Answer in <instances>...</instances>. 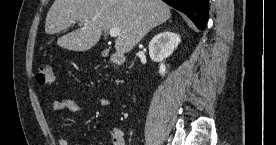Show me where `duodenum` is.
I'll return each instance as SVG.
<instances>
[{"label":"duodenum","mask_w":276,"mask_h":145,"mask_svg":"<svg viewBox=\"0 0 276 145\" xmlns=\"http://www.w3.org/2000/svg\"><path fill=\"white\" fill-rule=\"evenodd\" d=\"M124 61V57L122 54H116L114 57H113V62L117 65H121Z\"/></svg>","instance_id":"duodenum-1"}]
</instances>
